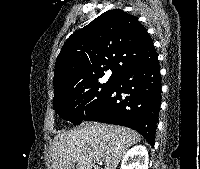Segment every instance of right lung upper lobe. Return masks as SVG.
Instances as JSON below:
<instances>
[{"label": "right lung upper lobe", "mask_w": 200, "mask_h": 169, "mask_svg": "<svg viewBox=\"0 0 200 169\" xmlns=\"http://www.w3.org/2000/svg\"><path fill=\"white\" fill-rule=\"evenodd\" d=\"M155 59L153 41L137 18L121 9L109 10L73 33L62 47L55 64L54 99L78 91L109 69L115 79Z\"/></svg>", "instance_id": "obj_1"}]
</instances>
